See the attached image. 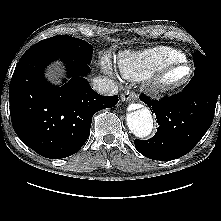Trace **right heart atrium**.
<instances>
[{"instance_id":"obj_1","label":"right heart atrium","mask_w":221,"mask_h":221,"mask_svg":"<svg viewBox=\"0 0 221 221\" xmlns=\"http://www.w3.org/2000/svg\"><path fill=\"white\" fill-rule=\"evenodd\" d=\"M101 67L104 72H106L108 74H112V66H111V63H110V60L108 57H104L101 60Z\"/></svg>"}]
</instances>
